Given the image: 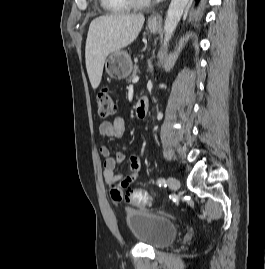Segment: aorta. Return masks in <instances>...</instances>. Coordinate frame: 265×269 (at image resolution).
Here are the masks:
<instances>
[{
    "label": "aorta",
    "mask_w": 265,
    "mask_h": 269,
    "mask_svg": "<svg viewBox=\"0 0 265 269\" xmlns=\"http://www.w3.org/2000/svg\"><path fill=\"white\" fill-rule=\"evenodd\" d=\"M188 1L189 0H171L164 24V45H166L171 39L188 4Z\"/></svg>",
    "instance_id": "1"
}]
</instances>
